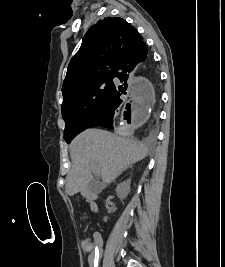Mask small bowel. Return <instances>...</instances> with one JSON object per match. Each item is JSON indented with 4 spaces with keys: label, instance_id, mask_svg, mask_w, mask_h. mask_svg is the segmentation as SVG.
<instances>
[{
    "label": "small bowel",
    "instance_id": "1",
    "mask_svg": "<svg viewBox=\"0 0 225 267\" xmlns=\"http://www.w3.org/2000/svg\"><path fill=\"white\" fill-rule=\"evenodd\" d=\"M96 239V245L93 247V249L90 252L88 256V264L90 267H94V263L98 262V260L102 256V249H101V238L99 234L95 235Z\"/></svg>",
    "mask_w": 225,
    "mask_h": 267
}]
</instances>
